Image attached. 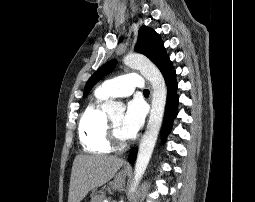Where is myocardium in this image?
Returning a JSON list of instances; mask_svg holds the SVG:
<instances>
[{
    "instance_id": "f54148a6",
    "label": "myocardium",
    "mask_w": 255,
    "mask_h": 202,
    "mask_svg": "<svg viewBox=\"0 0 255 202\" xmlns=\"http://www.w3.org/2000/svg\"><path fill=\"white\" fill-rule=\"evenodd\" d=\"M107 139L110 145L115 149H123L131 141L130 138L124 139L119 136V134L117 133L116 127L111 121V119L107 120Z\"/></svg>"
}]
</instances>
